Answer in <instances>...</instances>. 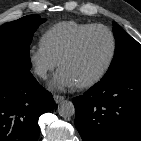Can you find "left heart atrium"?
<instances>
[{
  "mask_svg": "<svg viewBox=\"0 0 141 141\" xmlns=\"http://www.w3.org/2000/svg\"><path fill=\"white\" fill-rule=\"evenodd\" d=\"M75 82L70 75L62 68L53 76L49 82V87L54 90H64L73 87Z\"/></svg>",
  "mask_w": 141,
  "mask_h": 141,
  "instance_id": "1",
  "label": "left heart atrium"
}]
</instances>
